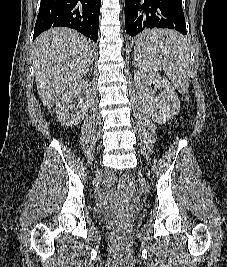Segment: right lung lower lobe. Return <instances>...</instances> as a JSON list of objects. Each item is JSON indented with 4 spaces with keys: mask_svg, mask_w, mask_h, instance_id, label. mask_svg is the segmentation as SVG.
<instances>
[{
    "mask_svg": "<svg viewBox=\"0 0 227 267\" xmlns=\"http://www.w3.org/2000/svg\"><path fill=\"white\" fill-rule=\"evenodd\" d=\"M101 0H41L33 40L51 27H70L98 39Z\"/></svg>",
    "mask_w": 227,
    "mask_h": 267,
    "instance_id": "1",
    "label": "right lung lower lobe"
}]
</instances>
